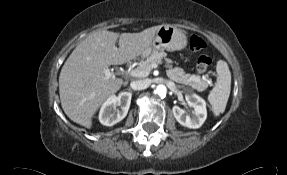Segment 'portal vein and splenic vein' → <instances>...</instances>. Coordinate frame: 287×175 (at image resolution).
<instances>
[{"instance_id":"1","label":"portal vein and splenic vein","mask_w":287,"mask_h":175,"mask_svg":"<svg viewBox=\"0 0 287 175\" xmlns=\"http://www.w3.org/2000/svg\"><path fill=\"white\" fill-rule=\"evenodd\" d=\"M153 68H157V64H152L150 66L149 71L148 70H141V69H134L131 71L126 72V74L132 76V77H146L149 75V72L153 69ZM105 76L106 78H110L111 76H114L113 73H111L109 70L105 71Z\"/></svg>"}]
</instances>
